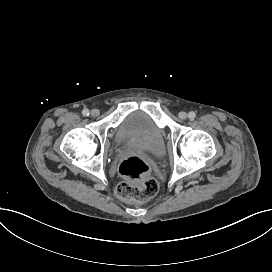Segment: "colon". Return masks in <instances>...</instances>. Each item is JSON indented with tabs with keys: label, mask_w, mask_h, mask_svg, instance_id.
<instances>
[{
	"label": "colon",
	"mask_w": 272,
	"mask_h": 272,
	"mask_svg": "<svg viewBox=\"0 0 272 272\" xmlns=\"http://www.w3.org/2000/svg\"><path fill=\"white\" fill-rule=\"evenodd\" d=\"M150 165L145 158L133 155L123 159L119 174L127 182L117 187V194L135 202H145L158 192V181L149 175Z\"/></svg>",
	"instance_id": "colon-1"
}]
</instances>
